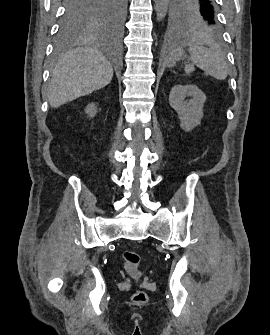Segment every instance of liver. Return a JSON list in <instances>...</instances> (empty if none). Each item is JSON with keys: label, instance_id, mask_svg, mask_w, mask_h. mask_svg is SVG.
<instances>
[{"label": "liver", "instance_id": "liver-1", "mask_svg": "<svg viewBox=\"0 0 270 335\" xmlns=\"http://www.w3.org/2000/svg\"><path fill=\"white\" fill-rule=\"evenodd\" d=\"M112 78L113 68L97 46L75 48L56 64L48 86V102L52 108H59L104 88Z\"/></svg>", "mask_w": 270, "mask_h": 335}]
</instances>
